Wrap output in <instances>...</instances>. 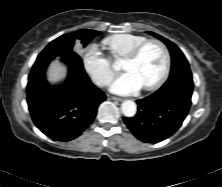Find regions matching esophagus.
<instances>
[{
	"instance_id": "obj_1",
	"label": "esophagus",
	"mask_w": 222,
	"mask_h": 187,
	"mask_svg": "<svg viewBox=\"0 0 222 187\" xmlns=\"http://www.w3.org/2000/svg\"><path fill=\"white\" fill-rule=\"evenodd\" d=\"M107 98H108L109 100H113V101H118V102H121V101H122V98L115 97V96H111V95H107Z\"/></svg>"
}]
</instances>
